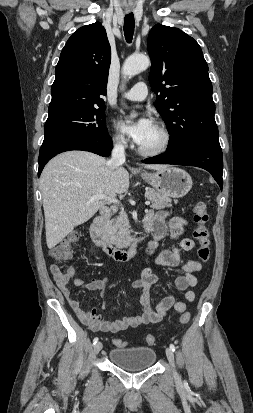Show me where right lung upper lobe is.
Instances as JSON below:
<instances>
[{
	"mask_svg": "<svg viewBox=\"0 0 253 413\" xmlns=\"http://www.w3.org/2000/svg\"><path fill=\"white\" fill-rule=\"evenodd\" d=\"M111 48L100 22L79 28L66 42L55 69L48 113L104 107Z\"/></svg>",
	"mask_w": 253,
	"mask_h": 413,
	"instance_id": "1",
	"label": "right lung upper lobe"
}]
</instances>
